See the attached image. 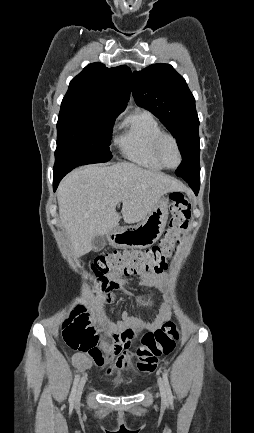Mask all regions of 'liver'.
<instances>
[{"instance_id": "1", "label": "liver", "mask_w": 254, "mask_h": 433, "mask_svg": "<svg viewBox=\"0 0 254 433\" xmlns=\"http://www.w3.org/2000/svg\"><path fill=\"white\" fill-rule=\"evenodd\" d=\"M181 189L172 177L129 162L73 171L60 183L57 198L74 254L89 253L92 239L117 228L122 217L128 224L142 221L164 194ZM120 202L122 217L116 211Z\"/></svg>"}]
</instances>
